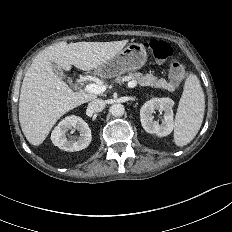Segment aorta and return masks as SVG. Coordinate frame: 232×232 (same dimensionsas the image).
<instances>
[{"label":"aorta","mask_w":232,"mask_h":232,"mask_svg":"<svg viewBox=\"0 0 232 232\" xmlns=\"http://www.w3.org/2000/svg\"><path fill=\"white\" fill-rule=\"evenodd\" d=\"M125 112V108L122 104L120 103H116V104H113L111 107H110V113L115 116V117H121L123 116Z\"/></svg>","instance_id":"1"}]
</instances>
